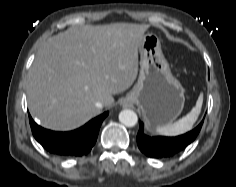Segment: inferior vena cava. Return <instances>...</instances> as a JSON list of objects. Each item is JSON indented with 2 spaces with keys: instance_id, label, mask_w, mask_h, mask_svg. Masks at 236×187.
<instances>
[{
  "instance_id": "inferior-vena-cava-1",
  "label": "inferior vena cava",
  "mask_w": 236,
  "mask_h": 187,
  "mask_svg": "<svg viewBox=\"0 0 236 187\" xmlns=\"http://www.w3.org/2000/svg\"><path fill=\"white\" fill-rule=\"evenodd\" d=\"M95 106L98 108V109H102L103 108V103L98 101L95 103Z\"/></svg>"
}]
</instances>
